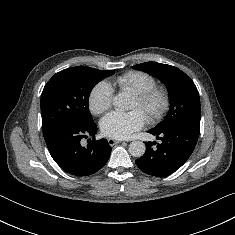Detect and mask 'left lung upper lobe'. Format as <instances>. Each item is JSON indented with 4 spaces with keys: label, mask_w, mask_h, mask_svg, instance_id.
<instances>
[{
    "label": "left lung upper lobe",
    "mask_w": 235,
    "mask_h": 235,
    "mask_svg": "<svg viewBox=\"0 0 235 235\" xmlns=\"http://www.w3.org/2000/svg\"><path fill=\"white\" fill-rule=\"evenodd\" d=\"M160 79L168 88L171 98L166 118L152 130L166 131L179 126L200 128L201 106L194 82L180 69L157 62H145L133 66Z\"/></svg>",
    "instance_id": "obj_1"
}]
</instances>
